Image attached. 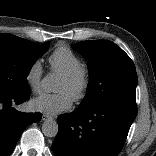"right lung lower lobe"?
Returning <instances> with one entry per match:
<instances>
[{
  "label": "right lung lower lobe",
  "instance_id": "right-lung-lower-lobe-1",
  "mask_svg": "<svg viewBox=\"0 0 156 156\" xmlns=\"http://www.w3.org/2000/svg\"><path fill=\"white\" fill-rule=\"evenodd\" d=\"M29 99V92L13 93L0 90V156H9L23 130L41 119V113H23L12 105Z\"/></svg>",
  "mask_w": 156,
  "mask_h": 156
}]
</instances>
